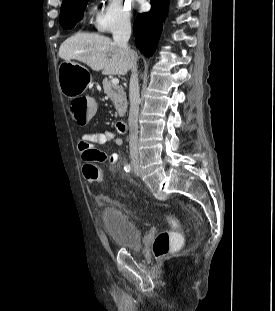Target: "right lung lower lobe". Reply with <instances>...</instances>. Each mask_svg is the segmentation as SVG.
I'll return each instance as SVG.
<instances>
[{
    "label": "right lung lower lobe",
    "instance_id": "1",
    "mask_svg": "<svg viewBox=\"0 0 275 311\" xmlns=\"http://www.w3.org/2000/svg\"><path fill=\"white\" fill-rule=\"evenodd\" d=\"M150 1L151 10L136 18L133 30L138 49L147 57L156 49L168 10V0Z\"/></svg>",
    "mask_w": 275,
    "mask_h": 311
}]
</instances>
